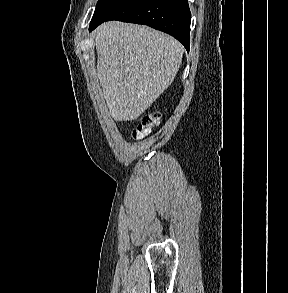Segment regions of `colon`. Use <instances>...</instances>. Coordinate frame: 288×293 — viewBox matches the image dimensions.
<instances>
[{"label":"colon","instance_id":"1","mask_svg":"<svg viewBox=\"0 0 288 293\" xmlns=\"http://www.w3.org/2000/svg\"><path fill=\"white\" fill-rule=\"evenodd\" d=\"M160 117L157 113H148L142 116L133 129L131 136L133 139H141L148 135L152 129L159 123Z\"/></svg>","mask_w":288,"mask_h":293}]
</instances>
